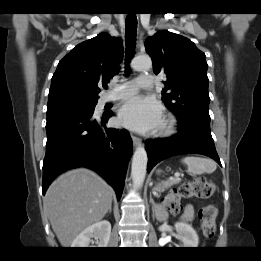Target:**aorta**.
Masks as SVG:
<instances>
[{"instance_id":"obj_1","label":"aorta","mask_w":261,"mask_h":261,"mask_svg":"<svg viewBox=\"0 0 261 261\" xmlns=\"http://www.w3.org/2000/svg\"><path fill=\"white\" fill-rule=\"evenodd\" d=\"M131 65L134 70L144 71L151 68L152 61L149 56H138L132 60ZM147 160V153L144 146H138L134 152L131 167V177L137 188H141L144 183Z\"/></svg>"}]
</instances>
